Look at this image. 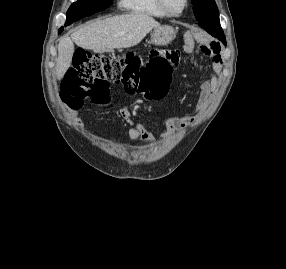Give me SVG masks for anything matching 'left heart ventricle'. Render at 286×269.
Masks as SVG:
<instances>
[{"label": "left heart ventricle", "instance_id": "b2bd125f", "mask_svg": "<svg viewBox=\"0 0 286 269\" xmlns=\"http://www.w3.org/2000/svg\"><path fill=\"white\" fill-rule=\"evenodd\" d=\"M168 6L171 10L179 12L183 7V0H167Z\"/></svg>", "mask_w": 286, "mask_h": 269}]
</instances>
